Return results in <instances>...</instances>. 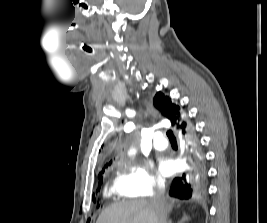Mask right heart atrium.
Listing matches in <instances>:
<instances>
[{"instance_id":"1","label":"right heart atrium","mask_w":267,"mask_h":223,"mask_svg":"<svg viewBox=\"0 0 267 223\" xmlns=\"http://www.w3.org/2000/svg\"><path fill=\"white\" fill-rule=\"evenodd\" d=\"M118 184L128 195L148 197L162 190L165 182L149 166L131 164L124 167Z\"/></svg>"}]
</instances>
